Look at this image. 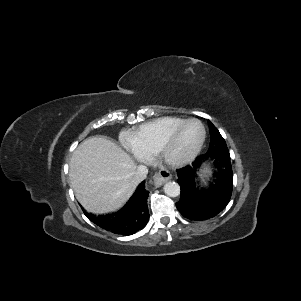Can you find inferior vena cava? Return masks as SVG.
<instances>
[{"mask_svg":"<svg viewBox=\"0 0 301 301\" xmlns=\"http://www.w3.org/2000/svg\"><path fill=\"white\" fill-rule=\"evenodd\" d=\"M148 173V168L144 165H139L134 173V176L132 178L133 183L139 184L142 182L146 177Z\"/></svg>","mask_w":301,"mask_h":301,"instance_id":"1","label":"inferior vena cava"}]
</instances>
